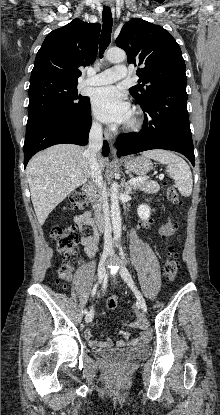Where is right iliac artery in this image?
Returning a JSON list of instances; mask_svg holds the SVG:
<instances>
[{"label":"right iliac artery","instance_id":"obj_1","mask_svg":"<svg viewBox=\"0 0 220 415\" xmlns=\"http://www.w3.org/2000/svg\"><path fill=\"white\" fill-rule=\"evenodd\" d=\"M97 287H98V284H95V286L92 289V293H91L92 297L95 295L96 290H97ZM83 313L84 314H87L88 313V310L87 309H84Z\"/></svg>","mask_w":220,"mask_h":415}]
</instances>
